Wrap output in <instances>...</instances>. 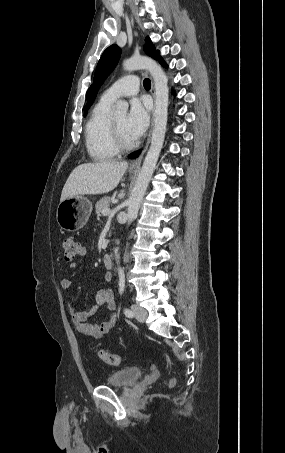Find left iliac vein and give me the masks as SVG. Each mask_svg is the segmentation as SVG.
I'll return each mask as SVG.
<instances>
[{
  "instance_id": "4c4485c4",
  "label": "left iliac vein",
  "mask_w": 285,
  "mask_h": 453,
  "mask_svg": "<svg viewBox=\"0 0 285 453\" xmlns=\"http://www.w3.org/2000/svg\"><path fill=\"white\" fill-rule=\"evenodd\" d=\"M134 314H135V318L139 321V322H144L147 318V311L138 306V305H132L131 306Z\"/></svg>"
}]
</instances>
